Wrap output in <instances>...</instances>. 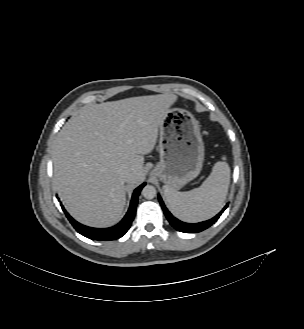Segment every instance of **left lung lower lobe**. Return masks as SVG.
<instances>
[{
    "label": "left lung lower lobe",
    "mask_w": 304,
    "mask_h": 329,
    "mask_svg": "<svg viewBox=\"0 0 304 329\" xmlns=\"http://www.w3.org/2000/svg\"><path fill=\"white\" fill-rule=\"evenodd\" d=\"M159 202L161 204V207L164 211V214L166 215L168 221L170 222V224L177 229L180 232H184V233H192V232H201L205 229H207L208 227H210L212 224H214L218 218L220 217V215L224 212V210L227 208L228 204L220 211V213H218L215 217H213L210 220L204 221V222H200V223H185L182 222L178 219H176L175 217L172 216V214L167 210V208L165 207L162 199L159 197Z\"/></svg>",
    "instance_id": "1"
}]
</instances>
